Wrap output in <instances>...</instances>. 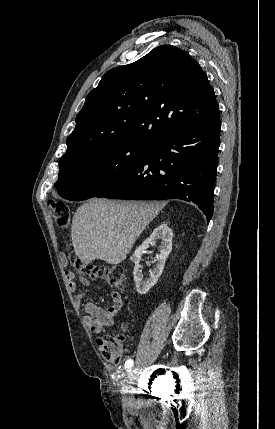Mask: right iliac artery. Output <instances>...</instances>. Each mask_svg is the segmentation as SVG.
<instances>
[{
	"mask_svg": "<svg viewBox=\"0 0 275 429\" xmlns=\"http://www.w3.org/2000/svg\"><path fill=\"white\" fill-rule=\"evenodd\" d=\"M133 364H134V362H133L132 359L127 360L126 363H125V369L127 371L131 370V367L133 366Z\"/></svg>",
	"mask_w": 275,
	"mask_h": 429,
	"instance_id": "1",
	"label": "right iliac artery"
}]
</instances>
